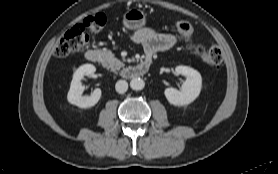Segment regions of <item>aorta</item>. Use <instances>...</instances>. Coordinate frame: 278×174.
Segmentation results:
<instances>
[{
    "instance_id": "1",
    "label": "aorta",
    "mask_w": 278,
    "mask_h": 174,
    "mask_svg": "<svg viewBox=\"0 0 278 174\" xmlns=\"http://www.w3.org/2000/svg\"><path fill=\"white\" fill-rule=\"evenodd\" d=\"M144 86H145V82L141 78H133L130 81V87L135 91L142 90Z\"/></svg>"
}]
</instances>
